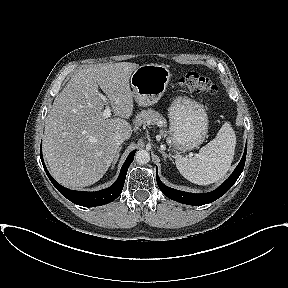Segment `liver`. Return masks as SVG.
<instances>
[{"mask_svg":"<svg viewBox=\"0 0 288 288\" xmlns=\"http://www.w3.org/2000/svg\"><path fill=\"white\" fill-rule=\"evenodd\" d=\"M138 67L120 62L81 69L55 97L45 120L43 153L61 185L78 188L100 180L119 149L114 137H131L132 126L125 119L133 113L129 80ZM99 87L119 117L103 116Z\"/></svg>","mask_w":288,"mask_h":288,"instance_id":"1","label":"liver"}]
</instances>
